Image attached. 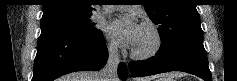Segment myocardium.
<instances>
[{
  "mask_svg": "<svg viewBox=\"0 0 237 81\" xmlns=\"http://www.w3.org/2000/svg\"><path fill=\"white\" fill-rule=\"evenodd\" d=\"M143 28L148 29L153 37V43L151 47L145 52H136L134 49L131 51V56L137 60H146L155 56L161 49L163 40L159 29L150 22H143L141 24Z\"/></svg>",
  "mask_w": 237,
  "mask_h": 81,
  "instance_id": "f54148a6",
  "label": "myocardium"
}]
</instances>
